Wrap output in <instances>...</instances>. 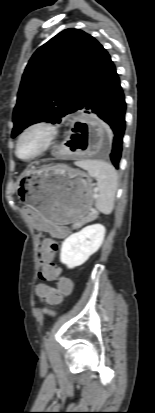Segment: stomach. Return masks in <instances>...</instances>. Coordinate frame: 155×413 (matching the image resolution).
Returning <instances> with one entry per match:
<instances>
[{"label":"stomach","instance_id":"1","mask_svg":"<svg viewBox=\"0 0 155 413\" xmlns=\"http://www.w3.org/2000/svg\"><path fill=\"white\" fill-rule=\"evenodd\" d=\"M17 194L42 218L60 225L85 218L96 202L91 178L63 164L28 169L19 180Z\"/></svg>","mask_w":155,"mask_h":413}]
</instances>
